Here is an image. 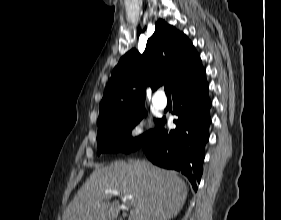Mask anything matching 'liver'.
I'll return each mask as SVG.
<instances>
[{
	"label": "liver",
	"mask_w": 281,
	"mask_h": 220,
	"mask_svg": "<svg viewBox=\"0 0 281 220\" xmlns=\"http://www.w3.org/2000/svg\"><path fill=\"white\" fill-rule=\"evenodd\" d=\"M134 197L129 220H170L182 209L188 188L174 171L147 161H116L98 167L81 186L63 213L62 220H114L120 207L106 191ZM107 199V201H104Z\"/></svg>",
	"instance_id": "6515ba94"
}]
</instances>
